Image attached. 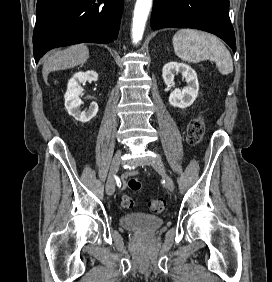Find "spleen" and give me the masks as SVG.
<instances>
[{
    "label": "spleen",
    "mask_w": 272,
    "mask_h": 282,
    "mask_svg": "<svg viewBox=\"0 0 272 282\" xmlns=\"http://www.w3.org/2000/svg\"><path fill=\"white\" fill-rule=\"evenodd\" d=\"M174 51L182 60L199 63L204 59L216 62L223 75L233 72V61L230 52L215 36L194 29H181L172 39Z\"/></svg>",
    "instance_id": "obj_1"
}]
</instances>
